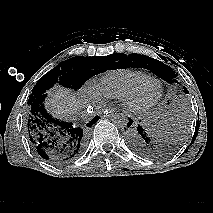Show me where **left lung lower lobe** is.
Instances as JSON below:
<instances>
[{
    "instance_id": "1",
    "label": "left lung lower lobe",
    "mask_w": 213,
    "mask_h": 213,
    "mask_svg": "<svg viewBox=\"0 0 213 213\" xmlns=\"http://www.w3.org/2000/svg\"><path fill=\"white\" fill-rule=\"evenodd\" d=\"M133 120L130 119L127 126L129 129L126 133V140L130 148L137 154L156 158L163 156L165 153L164 148L160 145L157 134L149 131L141 125L131 127ZM126 130V129H125Z\"/></svg>"
}]
</instances>
